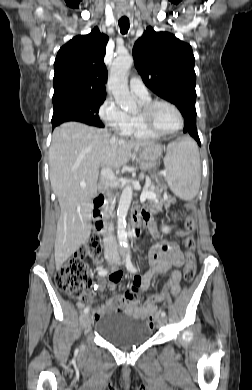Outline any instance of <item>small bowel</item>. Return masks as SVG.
I'll return each instance as SVG.
<instances>
[{"mask_svg": "<svg viewBox=\"0 0 252 390\" xmlns=\"http://www.w3.org/2000/svg\"><path fill=\"white\" fill-rule=\"evenodd\" d=\"M142 218L148 229L158 235L155 222L151 214L142 209ZM149 261L151 269L141 277H136L133 280L131 289L120 295H116L106 300L105 303L100 306L95 316L99 319L104 314L119 313L133 317L135 319H148L149 316H153L156 313L155 302L149 303L148 299L144 304H141L140 296L145 293L151 283L152 278L157 274H162L170 271L171 277L166 285V289L162 294L164 298L167 294V290H170L172 296H176L180 292L181 272L179 267L184 263V256L179 250V247L174 242H165L158 240V242L149 251ZM95 263H99L98 259H95ZM122 275L119 272L113 273L109 279H105L101 276L97 282V289L101 292L105 289L115 290L117 283L120 281ZM91 294H88L90 298ZM78 307L82 308L83 303H78Z\"/></svg>", "mask_w": 252, "mask_h": 390, "instance_id": "obj_1", "label": "small bowel"}]
</instances>
